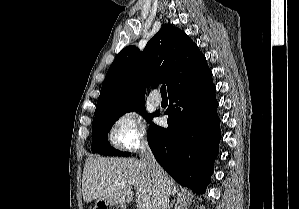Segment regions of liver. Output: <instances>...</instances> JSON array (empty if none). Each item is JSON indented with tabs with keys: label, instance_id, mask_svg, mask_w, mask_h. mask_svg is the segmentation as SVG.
I'll use <instances>...</instances> for the list:
<instances>
[{
	"label": "liver",
	"instance_id": "6515ba94",
	"mask_svg": "<svg viewBox=\"0 0 299 209\" xmlns=\"http://www.w3.org/2000/svg\"><path fill=\"white\" fill-rule=\"evenodd\" d=\"M165 183L169 194L174 195L177 186L167 173ZM132 186L137 187V209H153L157 189L155 180L143 161L103 157H90L86 160L82 178L85 202L98 198L124 206L133 200Z\"/></svg>",
	"mask_w": 299,
	"mask_h": 209
}]
</instances>
